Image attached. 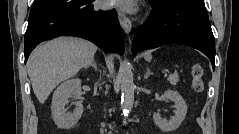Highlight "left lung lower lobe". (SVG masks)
<instances>
[{
    "mask_svg": "<svg viewBox=\"0 0 239 134\" xmlns=\"http://www.w3.org/2000/svg\"><path fill=\"white\" fill-rule=\"evenodd\" d=\"M153 8L150 19L134 36L132 53L168 44H182L202 51L215 69V40L204 0H169Z\"/></svg>",
    "mask_w": 239,
    "mask_h": 134,
    "instance_id": "1",
    "label": "left lung lower lobe"
}]
</instances>
